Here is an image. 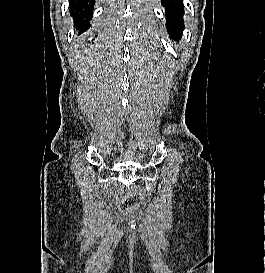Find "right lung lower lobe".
<instances>
[{"label": "right lung lower lobe", "mask_w": 265, "mask_h": 273, "mask_svg": "<svg viewBox=\"0 0 265 273\" xmlns=\"http://www.w3.org/2000/svg\"><path fill=\"white\" fill-rule=\"evenodd\" d=\"M94 0H70V15L79 34L90 28L89 21L93 16Z\"/></svg>", "instance_id": "obj_1"}]
</instances>
